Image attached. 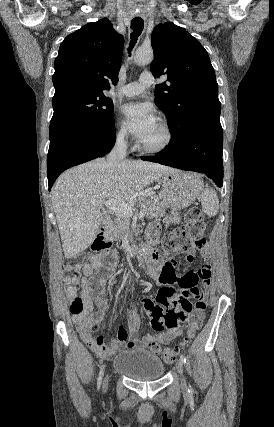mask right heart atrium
Masks as SVG:
<instances>
[{
	"label": "right heart atrium",
	"instance_id": "d8ad5b80",
	"mask_svg": "<svg viewBox=\"0 0 274 427\" xmlns=\"http://www.w3.org/2000/svg\"><path fill=\"white\" fill-rule=\"evenodd\" d=\"M115 139L117 143L120 144L121 146H126L128 143V135L126 130L123 128H120L115 134Z\"/></svg>",
	"mask_w": 274,
	"mask_h": 427
}]
</instances>
